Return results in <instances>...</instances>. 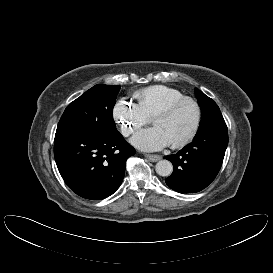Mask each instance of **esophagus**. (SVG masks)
<instances>
[{"label":"esophagus","instance_id":"1","mask_svg":"<svg viewBox=\"0 0 273 273\" xmlns=\"http://www.w3.org/2000/svg\"><path fill=\"white\" fill-rule=\"evenodd\" d=\"M145 157L151 162H157L162 158L160 155L155 154H145Z\"/></svg>","mask_w":273,"mask_h":273}]
</instances>
